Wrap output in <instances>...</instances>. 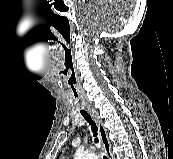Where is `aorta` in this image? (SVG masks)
Returning a JSON list of instances; mask_svg holds the SVG:
<instances>
[{
  "label": "aorta",
  "mask_w": 173,
  "mask_h": 159,
  "mask_svg": "<svg viewBox=\"0 0 173 159\" xmlns=\"http://www.w3.org/2000/svg\"><path fill=\"white\" fill-rule=\"evenodd\" d=\"M74 159H99V157L94 153H86L83 151H77L75 153Z\"/></svg>",
  "instance_id": "obj_1"
}]
</instances>
